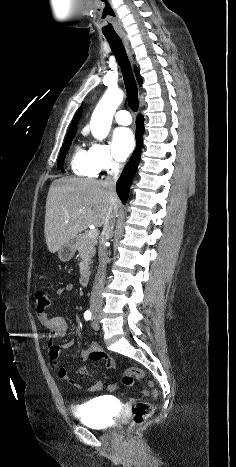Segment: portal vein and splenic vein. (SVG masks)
Returning a JSON list of instances; mask_svg holds the SVG:
<instances>
[{
  "instance_id": "portal-vein-and-splenic-vein-1",
  "label": "portal vein and splenic vein",
  "mask_w": 236,
  "mask_h": 467,
  "mask_svg": "<svg viewBox=\"0 0 236 467\" xmlns=\"http://www.w3.org/2000/svg\"><path fill=\"white\" fill-rule=\"evenodd\" d=\"M98 236V230L93 228L92 230L89 231L88 237L89 238H95Z\"/></svg>"
}]
</instances>
